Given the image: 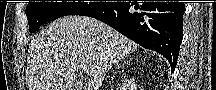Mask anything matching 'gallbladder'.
Here are the masks:
<instances>
[{
	"mask_svg": "<svg viewBox=\"0 0 216 90\" xmlns=\"http://www.w3.org/2000/svg\"><path fill=\"white\" fill-rule=\"evenodd\" d=\"M78 90H82V86H78Z\"/></svg>",
	"mask_w": 216,
	"mask_h": 90,
	"instance_id": "bac80fb5",
	"label": "gallbladder"
}]
</instances>
